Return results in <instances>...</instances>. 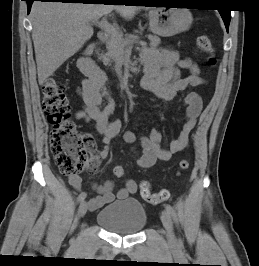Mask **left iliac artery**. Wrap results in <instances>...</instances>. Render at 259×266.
Instances as JSON below:
<instances>
[{
	"label": "left iliac artery",
	"instance_id": "left-iliac-artery-1",
	"mask_svg": "<svg viewBox=\"0 0 259 266\" xmlns=\"http://www.w3.org/2000/svg\"><path fill=\"white\" fill-rule=\"evenodd\" d=\"M165 210H166L167 214H168L171 218H173V220L176 221V214H175V211H174V209L172 208V206H170L169 204H166V205H165ZM178 243H179V245L182 244L181 239H179V242H178Z\"/></svg>",
	"mask_w": 259,
	"mask_h": 266
}]
</instances>
